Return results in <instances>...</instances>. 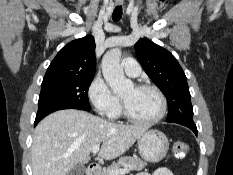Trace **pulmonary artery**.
Wrapping results in <instances>:
<instances>
[{
    "mask_svg": "<svg viewBox=\"0 0 233 175\" xmlns=\"http://www.w3.org/2000/svg\"><path fill=\"white\" fill-rule=\"evenodd\" d=\"M123 68L126 75L130 77H137L141 72L139 63L132 58H127L123 61Z\"/></svg>",
    "mask_w": 233,
    "mask_h": 175,
    "instance_id": "pulmonary-artery-1",
    "label": "pulmonary artery"
}]
</instances>
